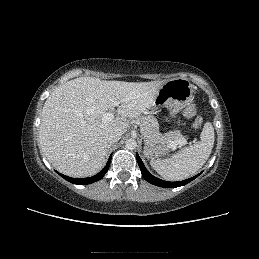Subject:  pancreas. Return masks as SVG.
I'll return each instance as SVG.
<instances>
[{
  "mask_svg": "<svg viewBox=\"0 0 259 259\" xmlns=\"http://www.w3.org/2000/svg\"><path fill=\"white\" fill-rule=\"evenodd\" d=\"M136 123L140 126V132L143 138L149 143H163L170 145L171 142L183 138L178 131L161 134L159 132L158 121L152 115L137 118Z\"/></svg>",
  "mask_w": 259,
  "mask_h": 259,
  "instance_id": "1",
  "label": "pancreas"
}]
</instances>
